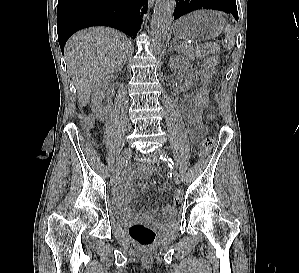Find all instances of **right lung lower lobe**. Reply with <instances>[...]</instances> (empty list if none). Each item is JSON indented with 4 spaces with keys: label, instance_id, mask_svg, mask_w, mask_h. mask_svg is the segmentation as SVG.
I'll use <instances>...</instances> for the list:
<instances>
[{
    "label": "right lung lower lobe",
    "instance_id": "obj_1",
    "mask_svg": "<svg viewBox=\"0 0 299 273\" xmlns=\"http://www.w3.org/2000/svg\"><path fill=\"white\" fill-rule=\"evenodd\" d=\"M146 5L147 0H58L57 31L62 53L73 33L91 26L113 27L134 38Z\"/></svg>",
    "mask_w": 299,
    "mask_h": 273
}]
</instances>
